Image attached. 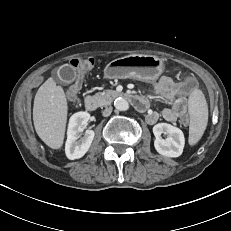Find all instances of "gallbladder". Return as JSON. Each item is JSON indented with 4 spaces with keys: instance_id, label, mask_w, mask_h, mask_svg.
<instances>
[{
    "instance_id": "1",
    "label": "gallbladder",
    "mask_w": 231,
    "mask_h": 231,
    "mask_svg": "<svg viewBox=\"0 0 231 231\" xmlns=\"http://www.w3.org/2000/svg\"><path fill=\"white\" fill-rule=\"evenodd\" d=\"M76 71L70 65H63L55 74L57 82L63 84H70L75 80Z\"/></svg>"
}]
</instances>
